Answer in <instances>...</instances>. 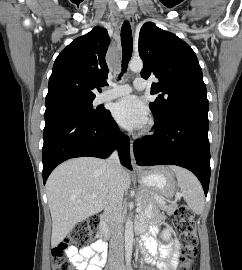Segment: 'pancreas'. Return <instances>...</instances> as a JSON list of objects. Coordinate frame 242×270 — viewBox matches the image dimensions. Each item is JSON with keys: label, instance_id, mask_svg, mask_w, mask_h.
Returning a JSON list of instances; mask_svg holds the SVG:
<instances>
[{"label": "pancreas", "instance_id": "1", "mask_svg": "<svg viewBox=\"0 0 242 270\" xmlns=\"http://www.w3.org/2000/svg\"><path fill=\"white\" fill-rule=\"evenodd\" d=\"M137 205L141 206V209H145L148 205L158 204L162 210L168 214H172L176 209V204H168L163 200H160L156 193L149 190L141 189L136 197Z\"/></svg>", "mask_w": 242, "mask_h": 270}]
</instances>
